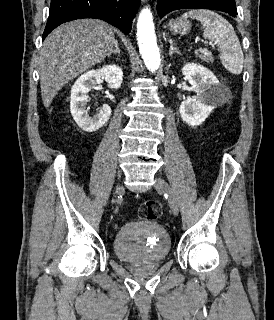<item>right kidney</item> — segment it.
<instances>
[{
    "label": "right kidney",
    "mask_w": 274,
    "mask_h": 320,
    "mask_svg": "<svg viewBox=\"0 0 274 320\" xmlns=\"http://www.w3.org/2000/svg\"><path fill=\"white\" fill-rule=\"evenodd\" d=\"M101 78L106 80L108 88H120L123 82L122 68L111 64V66H103L100 70H90L82 74L71 88L70 112L83 132H97L107 124L111 116L110 106H102L92 118L88 110H85L89 98L88 92L101 82Z\"/></svg>",
    "instance_id": "obj_1"
}]
</instances>
